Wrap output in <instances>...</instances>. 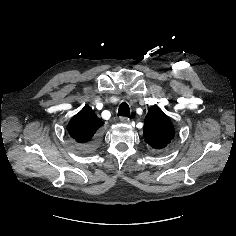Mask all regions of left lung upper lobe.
I'll use <instances>...</instances> for the list:
<instances>
[{
  "label": "left lung upper lobe",
  "instance_id": "obj_1",
  "mask_svg": "<svg viewBox=\"0 0 236 236\" xmlns=\"http://www.w3.org/2000/svg\"><path fill=\"white\" fill-rule=\"evenodd\" d=\"M143 134L152 148L162 149L174 138L175 131L164 112L158 106H153L145 117Z\"/></svg>",
  "mask_w": 236,
  "mask_h": 236
}]
</instances>
